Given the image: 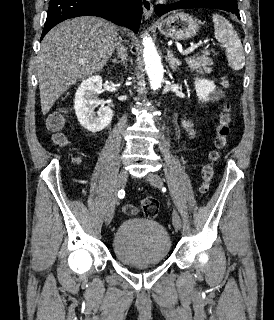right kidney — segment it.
<instances>
[{"instance_id":"ca27d5eb","label":"right kidney","mask_w":274,"mask_h":320,"mask_svg":"<svg viewBox=\"0 0 274 320\" xmlns=\"http://www.w3.org/2000/svg\"><path fill=\"white\" fill-rule=\"evenodd\" d=\"M102 90L101 76H92L83 80L76 90L74 110L82 128L96 134L109 126L113 112L109 106H100L98 96ZM100 106V108H98ZM95 108H98L95 112Z\"/></svg>"}]
</instances>
